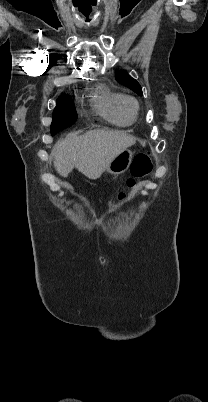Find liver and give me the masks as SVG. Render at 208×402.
<instances>
[{
    "mask_svg": "<svg viewBox=\"0 0 208 402\" xmlns=\"http://www.w3.org/2000/svg\"><path fill=\"white\" fill-rule=\"evenodd\" d=\"M136 138L125 132L92 130L83 136L68 134L52 150L56 172L67 178L77 168L89 180L101 178L115 156L135 144Z\"/></svg>",
    "mask_w": 208,
    "mask_h": 402,
    "instance_id": "1",
    "label": "liver"
}]
</instances>
